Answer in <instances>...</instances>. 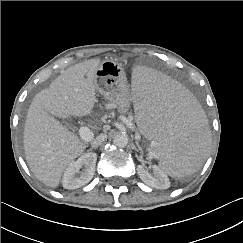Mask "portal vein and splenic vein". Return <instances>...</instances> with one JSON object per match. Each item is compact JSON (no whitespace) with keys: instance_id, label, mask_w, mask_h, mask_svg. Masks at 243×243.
I'll return each instance as SVG.
<instances>
[{"instance_id":"obj_1","label":"portal vein and splenic vein","mask_w":243,"mask_h":243,"mask_svg":"<svg viewBox=\"0 0 243 243\" xmlns=\"http://www.w3.org/2000/svg\"><path fill=\"white\" fill-rule=\"evenodd\" d=\"M123 120H124V122H125L130 128H133V127H134L130 119H128V118H123ZM79 135H80V137H81L83 140H85V141H89V140H91V138L93 137V133H92V131H91L89 128L84 127V126L81 127V128L79 129ZM150 154H151V155H154L153 152H150Z\"/></svg>"}]
</instances>
